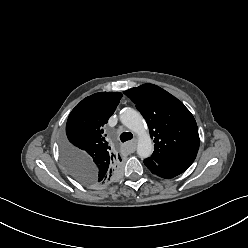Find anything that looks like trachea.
<instances>
[{
  "instance_id": "3493384b",
  "label": "trachea",
  "mask_w": 248,
  "mask_h": 248,
  "mask_svg": "<svg viewBox=\"0 0 248 248\" xmlns=\"http://www.w3.org/2000/svg\"><path fill=\"white\" fill-rule=\"evenodd\" d=\"M133 138V134L131 132H123L121 135H120V140L122 142H126L128 140H131Z\"/></svg>"
}]
</instances>
